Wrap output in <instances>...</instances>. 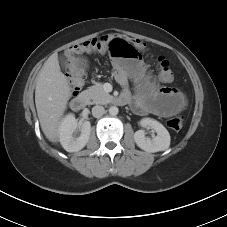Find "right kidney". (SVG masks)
<instances>
[{
	"mask_svg": "<svg viewBox=\"0 0 227 227\" xmlns=\"http://www.w3.org/2000/svg\"><path fill=\"white\" fill-rule=\"evenodd\" d=\"M78 127V122L73 114L66 115L59 126V140L62 147L68 152H77L85 147L89 140L91 124L85 121L81 125V135L77 138L73 133Z\"/></svg>",
	"mask_w": 227,
	"mask_h": 227,
	"instance_id": "obj_1",
	"label": "right kidney"
}]
</instances>
